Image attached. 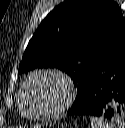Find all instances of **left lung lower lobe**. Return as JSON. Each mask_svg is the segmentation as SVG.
Segmentation results:
<instances>
[{
	"mask_svg": "<svg viewBox=\"0 0 125 128\" xmlns=\"http://www.w3.org/2000/svg\"><path fill=\"white\" fill-rule=\"evenodd\" d=\"M68 114L101 116L114 124L125 121V30L91 71Z\"/></svg>",
	"mask_w": 125,
	"mask_h": 128,
	"instance_id": "obj_1",
	"label": "left lung lower lobe"
}]
</instances>
